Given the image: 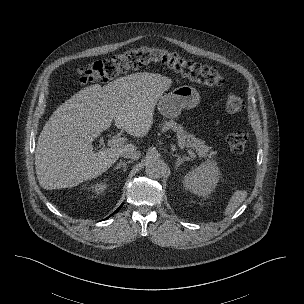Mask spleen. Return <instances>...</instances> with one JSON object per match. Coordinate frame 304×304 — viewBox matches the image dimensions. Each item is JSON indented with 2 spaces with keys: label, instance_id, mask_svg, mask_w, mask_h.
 <instances>
[{
  "label": "spleen",
  "instance_id": "spleen-1",
  "mask_svg": "<svg viewBox=\"0 0 304 304\" xmlns=\"http://www.w3.org/2000/svg\"><path fill=\"white\" fill-rule=\"evenodd\" d=\"M247 192L245 190H237L231 196L228 205L225 208L224 215H230L233 213L246 199Z\"/></svg>",
  "mask_w": 304,
  "mask_h": 304
}]
</instances>
